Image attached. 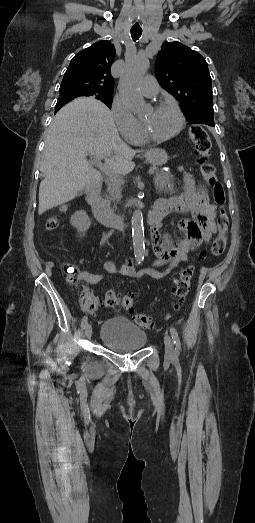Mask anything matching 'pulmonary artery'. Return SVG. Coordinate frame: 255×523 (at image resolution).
<instances>
[{
  "mask_svg": "<svg viewBox=\"0 0 255 523\" xmlns=\"http://www.w3.org/2000/svg\"><path fill=\"white\" fill-rule=\"evenodd\" d=\"M155 84V79L153 77H146L141 83V91L145 96L152 97L155 96L158 92L157 86Z\"/></svg>",
  "mask_w": 255,
  "mask_h": 523,
  "instance_id": "pulmonary-artery-1",
  "label": "pulmonary artery"
}]
</instances>
